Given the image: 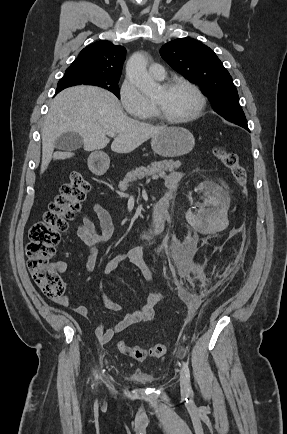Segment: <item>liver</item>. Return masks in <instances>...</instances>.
<instances>
[{
  "instance_id": "obj_1",
  "label": "liver",
  "mask_w": 287,
  "mask_h": 434,
  "mask_svg": "<svg viewBox=\"0 0 287 434\" xmlns=\"http://www.w3.org/2000/svg\"><path fill=\"white\" fill-rule=\"evenodd\" d=\"M165 129L129 118L109 91L92 86L68 88L53 99L44 122L40 172L44 173L52 159L71 156L54 153L55 140L63 133L79 134L85 150L94 151L105 148L110 141L107 132H114L112 151L130 153Z\"/></svg>"
}]
</instances>
